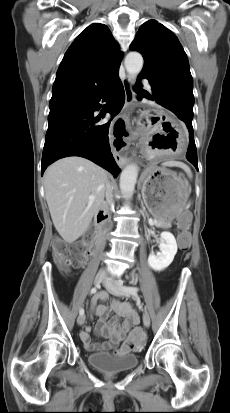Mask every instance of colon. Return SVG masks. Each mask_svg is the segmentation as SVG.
I'll return each mask as SVG.
<instances>
[{"instance_id":"colon-1","label":"colon","mask_w":230,"mask_h":413,"mask_svg":"<svg viewBox=\"0 0 230 413\" xmlns=\"http://www.w3.org/2000/svg\"><path fill=\"white\" fill-rule=\"evenodd\" d=\"M177 229L179 232L178 242L180 243V251L188 252L192 246V241L189 239L188 216L183 214L177 221ZM52 254L54 260L64 272H68L74 265L85 259L87 255V246L84 242H77L68 246L65 242L55 240L52 243ZM143 343V333L140 329H134L130 337L127 339L128 347L139 349Z\"/></svg>"}]
</instances>
